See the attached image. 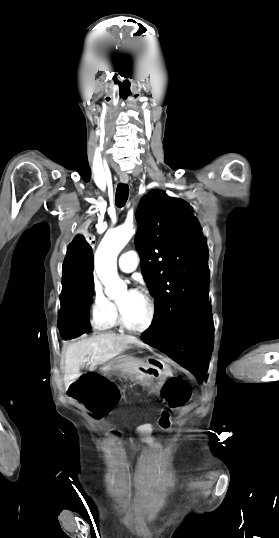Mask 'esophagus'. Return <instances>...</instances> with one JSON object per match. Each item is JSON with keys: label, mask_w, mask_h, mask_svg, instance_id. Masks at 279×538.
I'll list each match as a JSON object with an SVG mask.
<instances>
[{"label": "esophagus", "mask_w": 279, "mask_h": 538, "mask_svg": "<svg viewBox=\"0 0 279 538\" xmlns=\"http://www.w3.org/2000/svg\"><path fill=\"white\" fill-rule=\"evenodd\" d=\"M128 180H129L128 176H125V177L121 176V177H120V181H121L122 183H128Z\"/></svg>", "instance_id": "esophagus-1"}]
</instances>
